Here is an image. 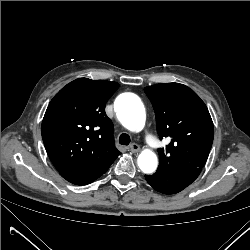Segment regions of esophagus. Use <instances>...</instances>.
<instances>
[{
    "mask_svg": "<svg viewBox=\"0 0 250 250\" xmlns=\"http://www.w3.org/2000/svg\"><path fill=\"white\" fill-rule=\"evenodd\" d=\"M129 149L133 153H136V152L140 151V147L136 143L131 144L130 147H129Z\"/></svg>",
    "mask_w": 250,
    "mask_h": 250,
    "instance_id": "1",
    "label": "esophagus"
}]
</instances>
